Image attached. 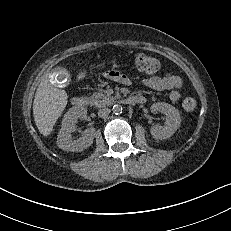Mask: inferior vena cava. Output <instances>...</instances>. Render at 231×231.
Here are the masks:
<instances>
[{
  "instance_id": "obj_1",
  "label": "inferior vena cava",
  "mask_w": 231,
  "mask_h": 231,
  "mask_svg": "<svg viewBox=\"0 0 231 231\" xmlns=\"http://www.w3.org/2000/svg\"><path fill=\"white\" fill-rule=\"evenodd\" d=\"M110 109L109 108H102L98 111V116L101 118H106L110 114Z\"/></svg>"
}]
</instances>
